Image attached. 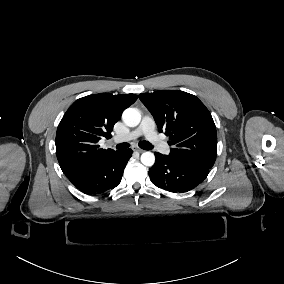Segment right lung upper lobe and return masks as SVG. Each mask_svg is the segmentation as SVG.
<instances>
[{
	"label": "right lung upper lobe",
	"instance_id": "cb5924a9",
	"mask_svg": "<svg viewBox=\"0 0 284 284\" xmlns=\"http://www.w3.org/2000/svg\"><path fill=\"white\" fill-rule=\"evenodd\" d=\"M136 100L135 94L99 93L82 97L68 108L58 125L55 144L59 165L73 184L116 152L97 143L101 137H111L122 112Z\"/></svg>",
	"mask_w": 284,
	"mask_h": 284
}]
</instances>
